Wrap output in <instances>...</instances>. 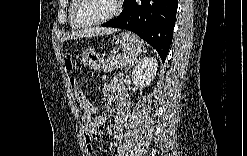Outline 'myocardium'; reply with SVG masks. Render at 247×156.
Listing matches in <instances>:
<instances>
[{
    "label": "myocardium",
    "mask_w": 247,
    "mask_h": 156,
    "mask_svg": "<svg viewBox=\"0 0 247 156\" xmlns=\"http://www.w3.org/2000/svg\"><path fill=\"white\" fill-rule=\"evenodd\" d=\"M83 2H84V0H78L76 3L75 10H74V21L78 26H80L82 28L95 27V26L101 25L103 23H106L109 20L116 17L121 11V1L120 0H114L113 10L108 15H106L102 18L96 19L94 21H83L79 16V12L81 10Z\"/></svg>",
    "instance_id": "obj_1"
}]
</instances>
